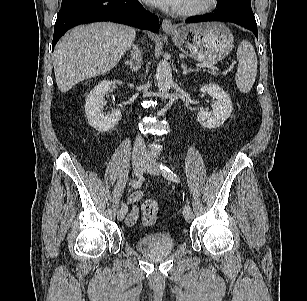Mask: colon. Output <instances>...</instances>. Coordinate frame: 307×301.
Listing matches in <instances>:
<instances>
[{"label":"colon","instance_id":"5ec220e1","mask_svg":"<svg viewBox=\"0 0 307 301\" xmlns=\"http://www.w3.org/2000/svg\"><path fill=\"white\" fill-rule=\"evenodd\" d=\"M142 212H143V217H142L143 224L146 226L154 224L158 214L157 201L152 198L146 199L142 204Z\"/></svg>","mask_w":307,"mask_h":301}]
</instances>
